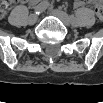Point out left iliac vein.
Listing matches in <instances>:
<instances>
[{"mask_svg":"<svg viewBox=\"0 0 103 103\" xmlns=\"http://www.w3.org/2000/svg\"><path fill=\"white\" fill-rule=\"evenodd\" d=\"M52 14L54 16H56L57 18H59L64 23L65 26L68 27L71 25L70 18L65 12H63L59 9H54V10H52Z\"/></svg>","mask_w":103,"mask_h":103,"instance_id":"left-iliac-vein-1","label":"left iliac vein"}]
</instances>
